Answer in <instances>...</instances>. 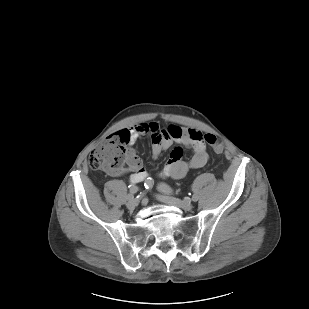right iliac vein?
<instances>
[{"label":"right iliac vein","mask_w":309,"mask_h":309,"mask_svg":"<svg viewBox=\"0 0 309 309\" xmlns=\"http://www.w3.org/2000/svg\"><path fill=\"white\" fill-rule=\"evenodd\" d=\"M138 203H134L133 200L128 201L126 206L129 210H133L137 207Z\"/></svg>","instance_id":"1"}]
</instances>
